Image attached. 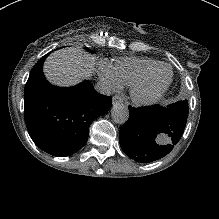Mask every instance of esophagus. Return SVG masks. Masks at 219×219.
I'll return each instance as SVG.
<instances>
[{
    "mask_svg": "<svg viewBox=\"0 0 219 219\" xmlns=\"http://www.w3.org/2000/svg\"><path fill=\"white\" fill-rule=\"evenodd\" d=\"M123 102V99L122 97L118 96V95H115L112 97V103L115 104V103H121Z\"/></svg>",
    "mask_w": 219,
    "mask_h": 219,
    "instance_id": "obj_1",
    "label": "esophagus"
}]
</instances>
